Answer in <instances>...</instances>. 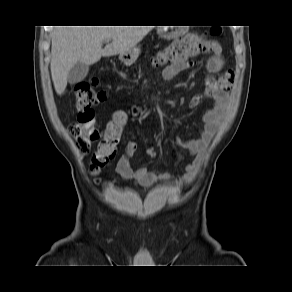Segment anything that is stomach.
Here are the masks:
<instances>
[{
  "instance_id": "stomach-1",
  "label": "stomach",
  "mask_w": 292,
  "mask_h": 292,
  "mask_svg": "<svg viewBox=\"0 0 292 292\" xmlns=\"http://www.w3.org/2000/svg\"><path fill=\"white\" fill-rule=\"evenodd\" d=\"M158 33L162 37L167 38V39L172 38L174 36V34H175L173 31H169L166 27H159L158 28ZM139 54H140V47L139 46H135L130 51L120 54L119 59L124 64L131 65L136 61V59L138 58Z\"/></svg>"
}]
</instances>
